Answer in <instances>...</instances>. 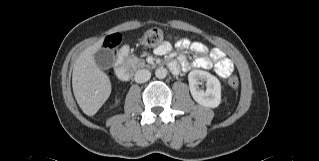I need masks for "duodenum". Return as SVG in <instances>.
<instances>
[{
	"mask_svg": "<svg viewBox=\"0 0 319 161\" xmlns=\"http://www.w3.org/2000/svg\"><path fill=\"white\" fill-rule=\"evenodd\" d=\"M128 58V49L122 48L116 57V75L121 81H128L131 78V69L127 62ZM169 67L172 71L177 70V64L175 62H171Z\"/></svg>",
	"mask_w": 319,
	"mask_h": 161,
	"instance_id": "1",
	"label": "duodenum"
}]
</instances>
